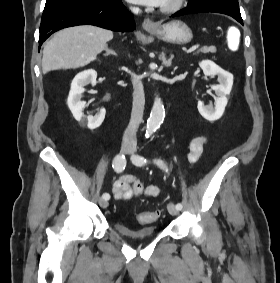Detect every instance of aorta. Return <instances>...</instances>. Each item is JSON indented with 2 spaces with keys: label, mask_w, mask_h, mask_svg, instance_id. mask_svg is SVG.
<instances>
[{
  "label": "aorta",
  "mask_w": 280,
  "mask_h": 283,
  "mask_svg": "<svg viewBox=\"0 0 280 283\" xmlns=\"http://www.w3.org/2000/svg\"><path fill=\"white\" fill-rule=\"evenodd\" d=\"M165 117V110L161 99L156 96L154 104L147 120L146 135L153 134L162 124Z\"/></svg>",
  "instance_id": "obj_1"
}]
</instances>
